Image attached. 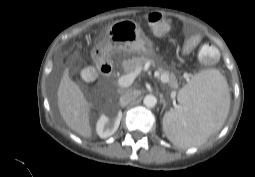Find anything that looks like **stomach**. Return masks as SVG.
<instances>
[{
    "mask_svg": "<svg viewBox=\"0 0 255 177\" xmlns=\"http://www.w3.org/2000/svg\"><path fill=\"white\" fill-rule=\"evenodd\" d=\"M103 59L114 55H139L153 57V43L142 28L133 20L122 19L114 22L105 37L96 45Z\"/></svg>",
    "mask_w": 255,
    "mask_h": 177,
    "instance_id": "obj_1",
    "label": "stomach"
}]
</instances>
